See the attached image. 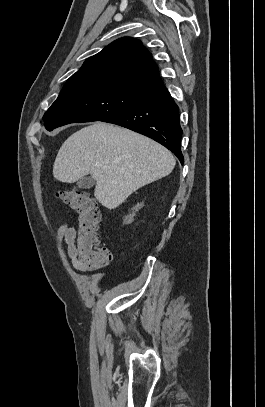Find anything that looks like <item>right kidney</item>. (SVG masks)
<instances>
[{
  "instance_id": "1",
  "label": "right kidney",
  "mask_w": 265,
  "mask_h": 407,
  "mask_svg": "<svg viewBox=\"0 0 265 407\" xmlns=\"http://www.w3.org/2000/svg\"><path fill=\"white\" fill-rule=\"evenodd\" d=\"M140 208H141V205H137V206L135 207V210H138V209H140ZM128 222H131V217H129Z\"/></svg>"
}]
</instances>
